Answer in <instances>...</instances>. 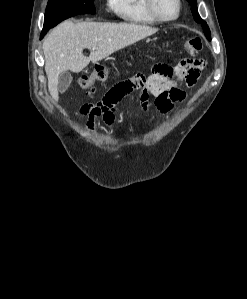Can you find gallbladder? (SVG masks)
<instances>
[{
    "mask_svg": "<svg viewBox=\"0 0 247 299\" xmlns=\"http://www.w3.org/2000/svg\"><path fill=\"white\" fill-rule=\"evenodd\" d=\"M72 82V75L69 71L62 72L58 77L57 89L60 93H64Z\"/></svg>",
    "mask_w": 247,
    "mask_h": 299,
    "instance_id": "gallbladder-1",
    "label": "gallbladder"
}]
</instances>
